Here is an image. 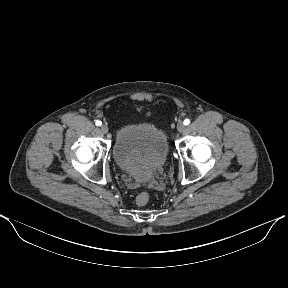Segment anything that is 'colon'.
<instances>
[{"label": "colon", "instance_id": "colon-1", "mask_svg": "<svg viewBox=\"0 0 288 288\" xmlns=\"http://www.w3.org/2000/svg\"><path fill=\"white\" fill-rule=\"evenodd\" d=\"M149 199H150L149 194L146 193V192H142V193L137 195L136 203L139 206H144V205H146L149 202Z\"/></svg>", "mask_w": 288, "mask_h": 288}]
</instances>
